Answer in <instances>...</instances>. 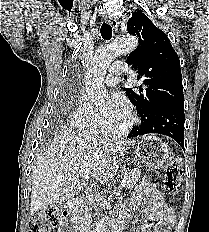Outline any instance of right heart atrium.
Instances as JSON below:
<instances>
[{"instance_id":"1","label":"right heart atrium","mask_w":209,"mask_h":232,"mask_svg":"<svg viewBox=\"0 0 209 232\" xmlns=\"http://www.w3.org/2000/svg\"><path fill=\"white\" fill-rule=\"evenodd\" d=\"M105 121L95 110L86 95H81L71 115V125L82 132L91 133L104 125Z\"/></svg>"}]
</instances>
